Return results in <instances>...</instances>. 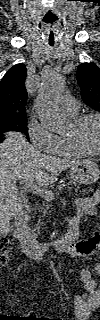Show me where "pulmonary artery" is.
<instances>
[{"instance_id":"pulmonary-artery-1","label":"pulmonary artery","mask_w":100,"mask_h":320,"mask_svg":"<svg viewBox=\"0 0 100 320\" xmlns=\"http://www.w3.org/2000/svg\"><path fill=\"white\" fill-rule=\"evenodd\" d=\"M59 108L69 116H75L77 113L78 105L74 98L71 96H63L58 101Z\"/></svg>"}]
</instances>
